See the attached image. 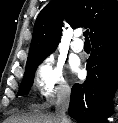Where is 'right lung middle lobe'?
Here are the masks:
<instances>
[{
  "mask_svg": "<svg viewBox=\"0 0 118 123\" xmlns=\"http://www.w3.org/2000/svg\"><path fill=\"white\" fill-rule=\"evenodd\" d=\"M47 57L42 58L37 63H35L32 67L25 70V74L18 92V95H26L28 94L34 80V74L36 71V68L39 64H41Z\"/></svg>",
  "mask_w": 118,
  "mask_h": 123,
  "instance_id": "obj_1",
  "label": "right lung middle lobe"
}]
</instances>
